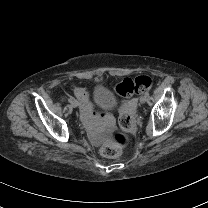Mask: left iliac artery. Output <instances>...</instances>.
Returning a JSON list of instances; mask_svg holds the SVG:
<instances>
[{
  "mask_svg": "<svg viewBox=\"0 0 208 208\" xmlns=\"http://www.w3.org/2000/svg\"><path fill=\"white\" fill-rule=\"evenodd\" d=\"M145 96H149V92H145Z\"/></svg>",
  "mask_w": 208,
  "mask_h": 208,
  "instance_id": "left-iliac-artery-1",
  "label": "left iliac artery"
}]
</instances>
